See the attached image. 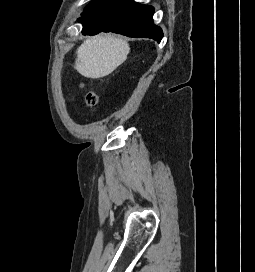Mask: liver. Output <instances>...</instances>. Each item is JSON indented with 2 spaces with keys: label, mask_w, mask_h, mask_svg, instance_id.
Instances as JSON below:
<instances>
[{
  "label": "liver",
  "mask_w": 255,
  "mask_h": 272,
  "mask_svg": "<svg viewBox=\"0 0 255 272\" xmlns=\"http://www.w3.org/2000/svg\"><path fill=\"white\" fill-rule=\"evenodd\" d=\"M129 44L111 34L88 37L77 49L75 68L82 76L99 79L111 74L127 58Z\"/></svg>",
  "instance_id": "6515ba94"
}]
</instances>
